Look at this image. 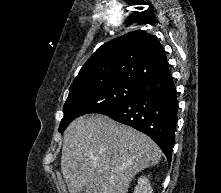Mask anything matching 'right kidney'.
Instances as JSON below:
<instances>
[{
	"label": "right kidney",
	"instance_id": "ca27d5eb",
	"mask_svg": "<svg viewBox=\"0 0 221 193\" xmlns=\"http://www.w3.org/2000/svg\"><path fill=\"white\" fill-rule=\"evenodd\" d=\"M152 187L148 178L141 177L138 180L137 186L135 187L134 193H152Z\"/></svg>",
	"mask_w": 221,
	"mask_h": 193
}]
</instances>
